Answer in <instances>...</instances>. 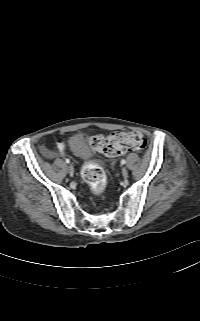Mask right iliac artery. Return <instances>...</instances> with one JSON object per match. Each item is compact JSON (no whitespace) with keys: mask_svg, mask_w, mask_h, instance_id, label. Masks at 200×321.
Segmentation results:
<instances>
[{"mask_svg":"<svg viewBox=\"0 0 200 321\" xmlns=\"http://www.w3.org/2000/svg\"><path fill=\"white\" fill-rule=\"evenodd\" d=\"M65 161H66V163H70L69 159H66Z\"/></svg>","mask_w":200,"mask_h":321,"instance_id":"right-iliac-artery-1","label":"right iliac artery"}]
</instances>
